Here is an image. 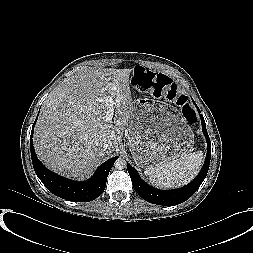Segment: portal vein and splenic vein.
I'll return each instance as SVG.
<instances>
[{"label":"portal vein and splenic vein","instance_id":"portal-vein-and-splenic-vein-1","mask_svg":"<svg viewBox=\"0 0 253 253\" xmlns=\"http://www.w3.org/2000/svg\"><path fill=\"white\" fill-rule=\"evenodd\" d=\"M105 102H106L107 111L104 116V120L106 123H111L113 115H114V107H113L114 101H113L112 97H109L105 100Z\"/></svg>","mask_w":253,"mask_h":253}]
</instances>
